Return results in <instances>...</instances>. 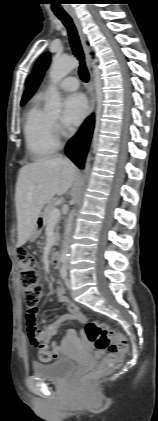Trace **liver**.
Masks as SVG:
<instances>
[{
  "instance_id": "1",
  "label": "liver",
  "mask_w": 158,
  "mask_h": 421,
  "mask_svg": "<svg viewBox=\"0 0 158 421\" xmlns=\"http://www.w3.org/2000/svg\"><path fill=\"white\" fill-rule=\"evenodd\" d=\"M76 171L69 159L60 156L29 163L20 169L15 192L19 247L29 239L44 205L70 189Z\"/></svg>"
}]
</instances>
